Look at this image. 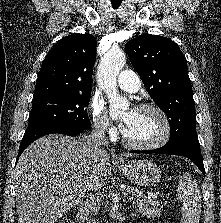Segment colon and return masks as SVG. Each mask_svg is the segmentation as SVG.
I'll list each match as a JSON object with an SVG mask.
<instances>
[{
  "instance_id": "1",
  "label": "colon",
  "mask_w": 221,
  "mask_h": 223,
  "mask_svg": "<svg viewBox=\"0 0 221 223\" xmlns=\"http://www.w3.org/2000/svg\"><path fill=\"white\" fill-rule=\"evenodd\" d=\"M58 223H71L69 219H62Z\"/></svg>"
}]
</instances>
